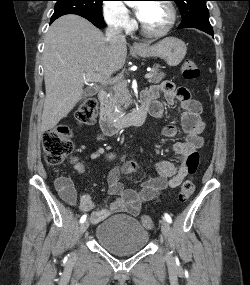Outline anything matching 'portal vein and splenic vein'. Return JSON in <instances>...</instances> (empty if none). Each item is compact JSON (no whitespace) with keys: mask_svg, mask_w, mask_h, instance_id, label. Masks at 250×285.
<instances>
[{"mask_svg":"<svg viewBox=\"0 0 250 285\" xmlns=\"http://www.w3.org/2000/svg\"><path fill=\"white\" fill-rule=\"evenodd\" d=\"M145 79H149L152 77V74L151 73H147L145 74ZM84 80L85 81H96V82H101V83H106V79H104L101 75H93L91 78H86L84 77Z\"/></svg>","mask_w":250,"mask_h":285,"instance_id":"portal-vein-and-splenic-vein-1","label":"portal vein and splenic vein"}]
</instances>
